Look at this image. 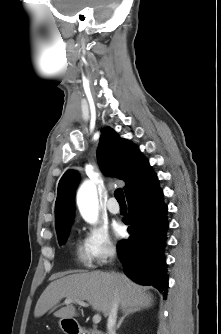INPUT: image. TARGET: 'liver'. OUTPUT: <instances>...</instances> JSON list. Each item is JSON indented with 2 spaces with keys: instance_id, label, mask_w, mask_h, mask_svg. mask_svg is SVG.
<instances>
[{
  "instance_id": "6515ba94",
  "label": "liver",
  "mask_w": 221,
  "mask_h": 334,
  "mask_svg": "<svg viewBox=\"0 0 221 334\" xmlns=\"http://www.w3.org/2000/svg\"><path fill=\"white\" fill-rule=\"evenodd\" d=\"M63 298L87 301L105 317L115 302L123 311L148 308L153 303L152 295L123 273L93 271L67 275L51 282L38 299L34 316H43ZM76 315L75 307L70 303L54 313L55 317L64 319Z\"/></svg>"
}]
</instances>
